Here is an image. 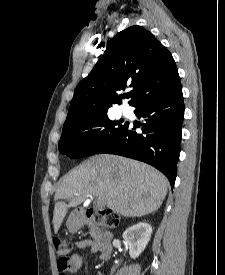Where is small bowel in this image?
Instances as JSON below:
<instances>
[{"instance_id": "small-bowel-1", "label": "small bowel", "mask_w": 225, "mask_h": 275, "mask_svg": "<svg viewBox=\"0 0 225 275\" xmlns=\"http://www.w3.org/2000/svg\"><path fill=\"white\" fill-rule=\"evenodd\" d=\"M90 246L95 250L97 249V245L93 241L89 239L80 240L75 243V250L80 251ZM69 261L71 265V272L75 275H79L82 270V259L79 253L74 252L73 254H71L69 257Z\"/></svg>"}]
</instances>
